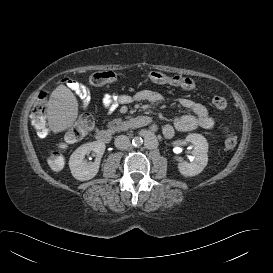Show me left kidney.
Returning a JSON list of instances; mask_svg holds the SVG:
<instances>
[{
  "mask_svg": "<svg viewBox=\"0 0 273 273\" xmlns=\"http://www.w3.org/2000/svg\"><path fill=\"white\" fill-rule=\"evenodd\" d=\"M186 141L194 146L193 159L178 163V170L183 176L192 177L201 173L208 163V142L204 136L196 133L189 134Z\"/></svg>",
  "mask_w": 273,
  "mask_h": 273,
  "instance_id": "obj_1",
  "label": "left kidney"
}]
</instances>
